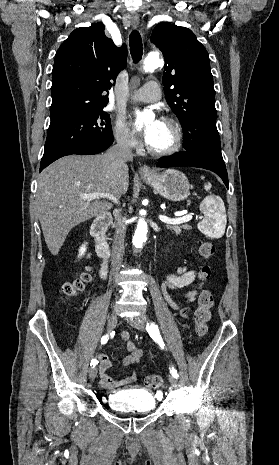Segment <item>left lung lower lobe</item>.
<instances>
[{"label": "left lung lower lobe", "instance_id": "left-lung-lower-lobe-1", "mask_svg": "<svg viewBox=\"0 0 279 465\" xmlns=\"http://www.w3.org/2000/svg\"><path fill=\"white\" fill-rule=\"evenodd\" d=\"M191 166L204 168L215 172L228 188V175L225 164H221L214 159L196 152L183 151L169 157L160 158L157 167Z\"/></svg>", "mask_w": 279, "mask_h": 465}]
</instances>
